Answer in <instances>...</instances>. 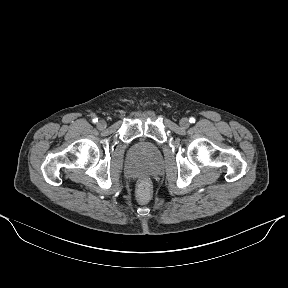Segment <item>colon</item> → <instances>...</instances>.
I'll list each match as a JSON object with an SVG mask.
<instances>
[{"mask_svg":"<svg viewBox=\"0 0 288 288\" xmlns=\"http://www.w3.org/2000/svg\"><path fill=\"white\" fill-rule=\"evenodd\" d=\"M151 185L147 180H142L137 189V197L140 202L145 203L150 199Z\"/></svg>","mask_w":288,"mask_h":288,"instance_id":"obj_1","label":"colon"}]
</instances>
